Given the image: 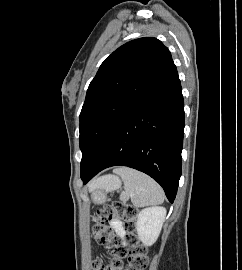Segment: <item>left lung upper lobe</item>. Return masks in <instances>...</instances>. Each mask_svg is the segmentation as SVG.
I'll list each match as a JSON object with an SVG mask.
<instances>
[{
  "instance_id": "5c2ea615",
  "label": "left lung upper lobe",
  "mask_w": 242,
  "mask_h": 270,
  "mask_svg": "<svg viewBox=\"0 0 242 270\" xmlns=\"http://www.w3.org/2000/svg\"><path fill=\"white\" fill-rule=\"evenodd\" d=\"M174 65L156 38L132 40L101 64L80 113L81 173L85 172L117 125L151 92Z\"/></svg>"
}]
</instances>
